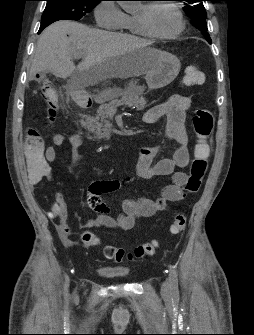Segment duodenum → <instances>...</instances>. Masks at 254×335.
I'll return each instance as SVG.
<instances>
[{
    "label": "duodenum",
    "instance_id": "410a0bca",
    "mask_svg": "<svg viewBox=\"0 0 254 335\" xmlns=\"http://www.w3.org/2000/svg\"><path fill=\"white\" fill-rule=\"evenodd\" d=\"M82 103L85 107H89L92 104V101H91V99L86 98V99L83 100Z\"/></svg>",
    "mask_w": 254,
    "mask_h": 335
}]
</instances>
